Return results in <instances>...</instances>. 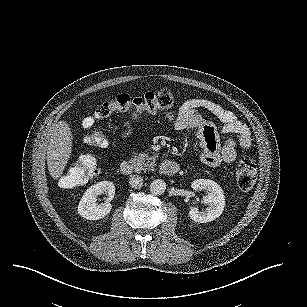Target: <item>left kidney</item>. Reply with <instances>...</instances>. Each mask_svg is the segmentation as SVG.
Returning <instances> with one entry per match:
<instances>
[{"mask_svg":"<svg viewBox=\"0 0 307 307\" xmlns=\"http://www.w3.org/2000/svg\"><path fill=\"white\" fill-rule=\"evenodd\" d=\"M193 190H206L207 195L202 202L206 205L203 210L192 207L189 216L196 222L206 223L219 217L225 209V195L221 186L211 179H194L191 182Z\"/></svg>","mask_w":307,"mask_h":307,"instance_id":"obj_1","label":"left kidney"}]
</instances>
